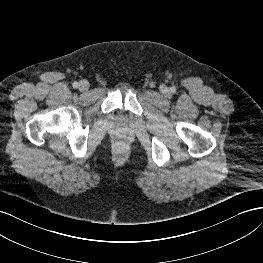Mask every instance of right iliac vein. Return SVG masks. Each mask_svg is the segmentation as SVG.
Here are the masks:
<instances>
[{
    "mask_svg": "<svg viewBox=\"0 0 263 263\" xmlns=\"http://www.w3.org/2000/svg\"><path fill=\"white\" fill-rule=\"evenodd\" d=\"M89 86H90V84H89V82L87 80H81L79 82V86L78 87H79L80 91H86V90H88Z\"/></svg>",
    "mask_w": 263,
    "mask_h": 263,
    "instance_id": "right-iliac-vein-1",
    "label": "right iliac vein"
}]
</instances>
